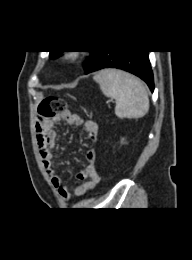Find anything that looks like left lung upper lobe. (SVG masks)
I'll return each instance as SVG.
<instances>
[{"instance_id":"obj_1","label":"left lung upper lobe","mask_w":192,"mask_h":260,"mask_svg":"<svg viewBox=\"0 0 192 260\" xmlns=\"http://www.w3.org/2000/svg\"><path fill=\"white\" fill-rule=\"evenodd\" d=\"M61 52H62V51H50V57L56 58V57L59 56V54H60ZM89 52H91V57H89V58L87 59V61L84 62V67H85V69L88 68V66L90 65L91 61L93 60L94 56L96 55V53H97L98 51H89Z\"/></svg>"}]
</instances>
